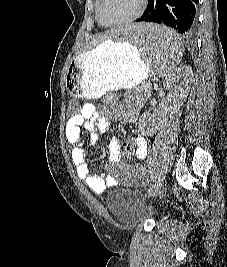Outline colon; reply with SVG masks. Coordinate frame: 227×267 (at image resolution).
Listing matches in <instances>:
<instances>
[{
  "instance_id": "5ec220e1",
  "label": "colon",
  "mask_w": 227,
  "mask_h": 267,
  "mask_svg": "<svg viewBox=\"0 0 227 267\" xmlns=\"http://www.w3.org/2000/svg\"><path fill=\"white\" fill-rule=\"evenodd\" d=\"M82 106L78 105V101L73 100L69 104V110L67 111L68 115H80Z\"/></svg>"
}]
</instances>
